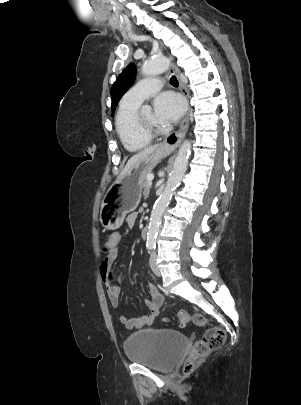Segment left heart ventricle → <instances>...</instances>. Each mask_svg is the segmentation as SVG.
<instances>
[{
	"label": "left heart ventricle",
	"instance_id": "1",
	"mask_svg": "<svg viewBox=\"0 0 301 405\" xmlns=\"http://www.w3.org/2000/svg\"><path fill=\"white\" fill-rule=\"evenodd\" d=\"M142 121L145 125L155 128H162V125L157 121L155 114L152 111L141 113Z\"/></svg>",
	"mask_w": 301,
	"mask_h": 405
}]
</instances>
